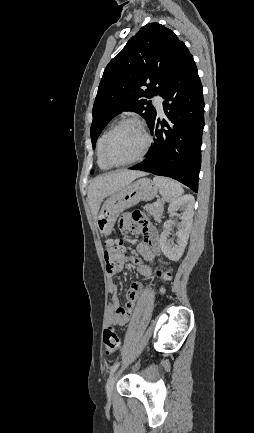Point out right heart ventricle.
Here are the masks:
<instances>
[{
    "label": "right heart ventricle",
    "mask_w": 254,
    "mask_h": 433,
    "mask_svg": "<svg viewBox=\"0 0 254 433\" xmlns=\"http://www.w3.org/2000/svg\"><path fill=\"white\" fill-rule=\"evenodd\" d=\"M112 129V127H110L109 129H107L103 134H102V136L99 138V140H98V144H97V163H98V166L102 169V170H109L111 167L110 166H108L103 160H102V158H101V147H102V144H103V141H104V139H105V137H106V135L108 134V132L110 131Z\"/></svg>",
    "instance_id": "1"
}]
</instances>
